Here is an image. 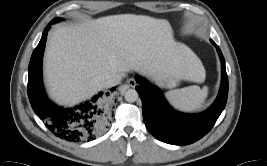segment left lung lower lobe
<instances>
[{
	"instance_id": "1",
	"label": "left lung lower lobe",
	"mask_w": 267,
	"mask_h": 166,
	"mask_svg": "<svg viewBox=\"0 0 267 166\" xmlns=\"http://www.w3.org/2000/svg\"><path fill=\"white\" fill-rule=\"evenodd\" d=\"M219 54L222 83L213 105L200 114H185L174 110L161 91L142 77H136V90L142 100L143 120L148 131L158 140L173 145H188L201 139L214 126L223 111L228 96V78L225 60L217 44L211 40Z\"/></svg>"
}]
</instances>
